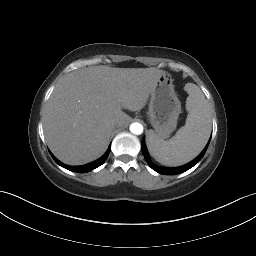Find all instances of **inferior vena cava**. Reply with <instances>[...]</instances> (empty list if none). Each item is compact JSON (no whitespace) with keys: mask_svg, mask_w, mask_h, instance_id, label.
<instances>
[{"mask_svg":"<svg viewBox=\"0 0 256 256\" xmlns=\"http://www.w3.org/2000/svg\"><path fill=\"white\" fill-rule=\"evenodd\" d=\"M111 126L113 128H118L120 126V119L118 117H113L111 119Z\"/></svg>","mask_w":256,"mask_h":256,"instance_id":"602c4592","label":"inferior vena cava"}]
</instances>
